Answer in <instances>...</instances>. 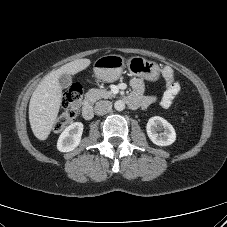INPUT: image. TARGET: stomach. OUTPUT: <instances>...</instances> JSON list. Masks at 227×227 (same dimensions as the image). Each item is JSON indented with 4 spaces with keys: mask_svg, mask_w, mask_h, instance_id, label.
<instances>
[{
    "mask_svg": "<svg viewBox=\"0 0 227 227\" xmlns=\"http://www.w3.org/2000/svg\"><path fill=\"white\" fill-rule=\"evenodd\" d=\"M127 66L129 73L154 81L159 76V66L143 57L135 56L125 62L120 55L110 54L98 58L94 62L93 71L95 76L102 81L113 82L122 74Z\"/></svg>",
    "mask_w": 227,
    "mask_h": 227,
    "instance_id": "obj_1",
    "label": "stomach"
}]
</instances>
